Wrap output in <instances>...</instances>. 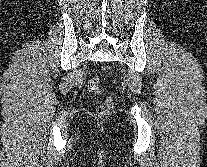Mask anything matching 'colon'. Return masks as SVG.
Returning <instances> with one entry per match:
<instances>
[{
  "label": "colon",
  "instance_id": "obj_1",
  "mask_svg": "<svg viewBox=\"0 0 207 167\" xmlns=\"http://www.w3.org/2000/svg\"><path fill=\"white\" fill-rule=\"evenodd\" d=\"M88 89L93 94L103 93L101 79L99 77H93L88 82ZM114 101L111 97H107L97 108V112L100 115L107 114L112 110Z\"/></svg>",
  "mask_w": 207,
  "mask_h": 167
}]
</instances>
